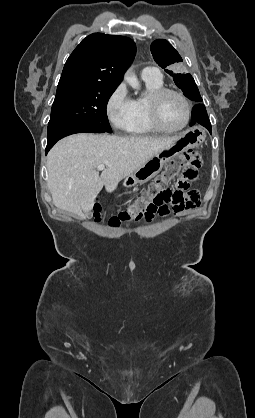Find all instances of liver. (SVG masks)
Returning a JSON list of instances; mask_svg holds the SVG:
<instances>
[{"instance_id": "liver-1", "label": "liver", "mask_w": 255, "mask_h": 418, "mask_svg": "<svg viewBox=\"0 0 255 418\" xmlns=\"http://www.w3.org/2000/svg\"><path fill=\"white\" fill-rule=\"evenodd\" d=\"M178 139L87 133L62 139L47 156L48 188L54 205L84 217L103 186L113 192L122 179ZM100 164L106 165L101 175L96 170Z\"/></svg>"}]
</instances>
